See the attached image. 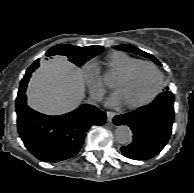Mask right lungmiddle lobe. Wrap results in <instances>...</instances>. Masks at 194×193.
<instances>
[{"label": "right lung middle lobe", "instance_id": "dd1d6c3e", "mask_svg": "<svg viewBox=\"0 0 194 193\" xmlns=\"http://www.w3.org/2000/svg\"><path fill=\"white\" fill-rule=\"evenodd\" d=\"M104 47H101L100 50H89L84 51L72 46H66L64 44H59L53 47V52L58 55H65L68 57L69 61L74 63L77 66L83 65L86 61L93 58L97 54H99ZM20 89L21 84H20Z\"/></svg>", "mask_w": 194, "mask_h": 193}]
</instances>
